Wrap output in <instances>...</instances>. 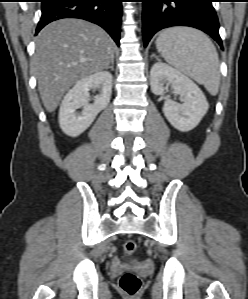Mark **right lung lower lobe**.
I'll return each instance as SVG.
<instances>
[{"mask_svg":"<svg viewBox=\"0 0 248 299\" xmlns=\"http://www.w3.org/2000/svg\"><path fill=\"white\" fill-rule=\"evenodd\" d=\"M123 0H41L42 15L36 34L48 23L80 18L104 28L119 46Z\"/></svg>","mask_w":248,"mask_h":299,"instance_id":"1","label":"right lung lower lobe"}]
</instances>
